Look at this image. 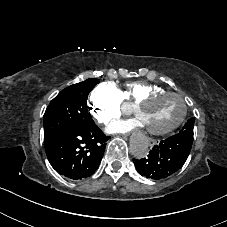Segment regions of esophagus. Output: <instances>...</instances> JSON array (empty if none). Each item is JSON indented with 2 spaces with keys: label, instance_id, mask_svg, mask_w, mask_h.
I'll use <instances>...</instances> for the list:
<instances>
[{
  "label": "esophagus",
  "instance_id": "34e87169",
  "mask_svg": "<svg viewBox=\"0 0 227 227\" xmlns=\"http://www.w3.org/2000/svg\"><path fill=\"white\" fill-rule=\"evenodd\" d=\"M155 144H156V141H155L154 139H151V140L149 141V143L147 144V147H148L149 149H152V148L154 147Z\"/></svg>",
  "mask_w": 227,
  "mask_h": 227
}]
</instances>
